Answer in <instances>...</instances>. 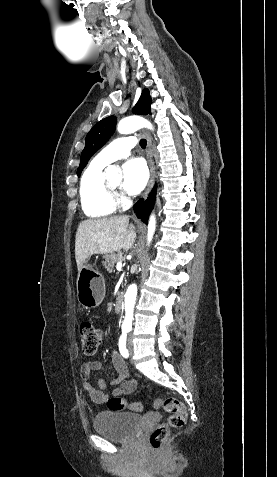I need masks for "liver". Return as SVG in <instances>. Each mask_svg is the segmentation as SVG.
Segmentation results:
<instances>
[{
  "mask_svg": "<svg viewBox=\"0 0 277 477\" xmlns=\"http://www.w3.org/2000/svg\"><path fill=\"white\" fill-rule=\"evenodd\" d=\"M136 240L133 224L128 216H113L82 221L75 237V258L78 271L93 254L129 250Z\"/></svg>",
  "mask_w": 277,
  "mask_h": 477,
  "instance_id": "6515ba94",
  "label": "liver"
}]
</instances>
